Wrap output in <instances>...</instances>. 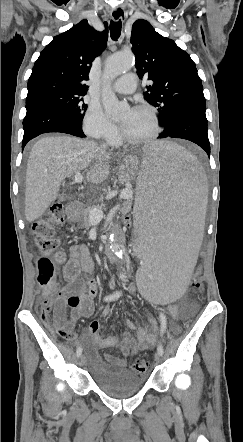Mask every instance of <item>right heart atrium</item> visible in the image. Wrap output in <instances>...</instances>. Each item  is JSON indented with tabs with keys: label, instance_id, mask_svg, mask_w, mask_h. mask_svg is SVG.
Instances as JSON below:
<instances>
[{
	"label": "right heart atrium",
	"instance_id": "1",
	"mask_svg": "<svg viewBox=\"0 0 243 442\" xmlns=\"http://www.w3.org/2000/svg\"><path fill=\"white\" fill-rule=\"evenodd\" d=\"M82 126L89 137L106 142H114L119 134L118 128L97 105H90L87 108Z\"/></svg>",
	"mask_w": 243,
	"mask_h": 442
}]
</instances>
